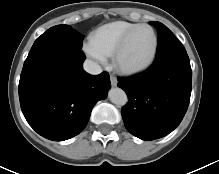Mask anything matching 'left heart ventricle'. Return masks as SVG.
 Masks as SVG:
<instances>
[{
	"mask_svg": "<svg viewBox=\"0 0 219 174\" xmlns=\"http://www.w3.org/2000/svg\"><path fill=\"white\" fill-rule=\"evenodd\" d=\"M154 36L150 29L141 28L135 32L122 54L121 62L126 66H137L144 63L151 55Z\"/></svg>",
	"mask_w": 219,
	"mask_h": 174,
	"instance_id": "1",
	"label": "left heart ventricle"
}]
</instances>
